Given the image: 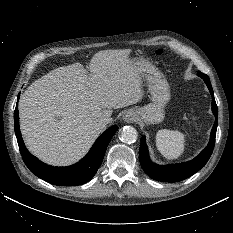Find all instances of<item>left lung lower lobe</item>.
Returning a JSON list of instances; mask_svg holds the SVG:
<instances>
[{
	"label": "left lung lower lobe",
	"mask_w": 233,
	"mask_h": 233,
	"mask_svg": "<svg viewBox=\"0 0 233 233\" xmlns=\"http://www.w3.org/2000/svg\"><path fill=\"white\" fill-rule=\"evenodd\" d=\"M197 74L205 81L212 96V112L216 119L211 131L210 141L206 148L193 160L180 164L160 166L151 162L149 159L148 149L146 147L145 138L143 137L139 149L140 164L145 173L154 180L163 182H178L184 180L203 168L212 154L217 130L218 109L209 77L203 73Z\"/></svg>",
	"instance_id": "0a47b994"
}]
</instances>
